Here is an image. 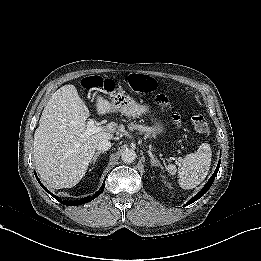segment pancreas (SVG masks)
Wrapping results in <instances>:
<instances>
[{
  "label": "pancreas",
  "mask_w": 261,
  "mask_h": 261,
  "mask_svg": "<svg viewBox=\"0 0 261 261\" xmlns=\"http://www.w3.org/2000/svg\"><path fill=\"white\" fill-rule=\"evenodd\" d=\"M128 129L130 131L137 130V131H139L141 133H144L146 135L151 134V128L148 127V126H145V125H141V124H133V123H131V124H129Z\"/></svg>",
  "instance_id": "obj_1"
}]
</instances>
